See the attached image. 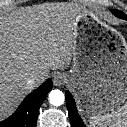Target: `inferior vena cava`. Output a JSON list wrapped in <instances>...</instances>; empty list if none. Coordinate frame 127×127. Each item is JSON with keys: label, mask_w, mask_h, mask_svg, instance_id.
<instances>
[{"label": "inferior vena cava", "mask_w": 127, "mask_h": 127, "mask_svg": "<svg viewBox=\"0 0 127 127\" xmlns=\"http://www.w3.org/2000/svg\"><path fill=\"white\" fill-rule=\"evenodd\" d=\"M44 76L43 75H38V76H32L28 79L26 85H27V88L29 89H33L35 87V84L37 82V80L39 78H43Z\"/></svg>", "instance_id": "obj_1"}]
</instances>
